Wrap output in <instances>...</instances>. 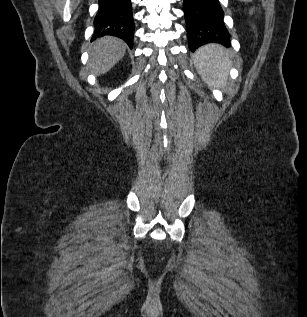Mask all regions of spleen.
Listing matches in <instances>:
<instances>
[{
  "instance_id": "1",
  "label": "spleen",
  "mask_w": 307,
  "mask_h": 317,
  "mask_svg": "<svg viewBox=\"0 0 307 317\" xmlns=\"http://www.w3.org/2000/svg\"><path fill=\"white\" fill-rule=\"evenodd\" d=\"M194 63L208 85L217 88L226 84L229 55L219 45L211 44L201 48L194 55Z\"/></svg>"
}]
</instances>
